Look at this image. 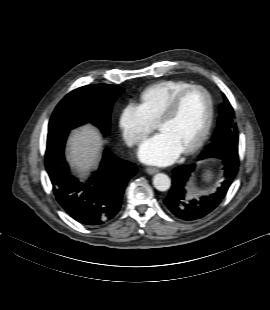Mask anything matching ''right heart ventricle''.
Listing matches in <instances>:
<instances>
[{"mask_svg":"<svg viewBox=\"0 0 270 310\" xmlns=\"http://www.w3.org/2000/svg\"><path fill=\"white\" fill-rule=\"evenodd\" d=\"M190 84L181 80H164L154 83L140 93V102L152 122L167 106L171 98Z\"/></svg>","mask_w":270,"mask_h":310,"instance_id":"right-heart-ventricle-1","label":"right heart ventricle"}]
</instances>
